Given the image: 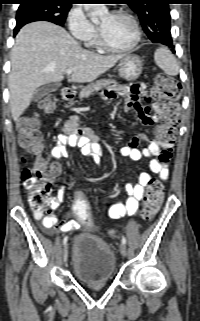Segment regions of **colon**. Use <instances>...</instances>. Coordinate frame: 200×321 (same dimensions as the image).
<instances>
[{
    "mask_svg": "<svg viewBox=\"0 0 200 321\" xmlns=\"http://www.w3.org/2000/svg\"><path fill=\"white\" fill-rule=\"evenodd\" d=\"M180 85L170 76L160 73L153 83L148 100L158 101L163 104L165 116L163 122L156 128L157 138L166 145L165 159H171L172 146L175 140L176 129L179 123V110L175 101L180 96ZM56 99L53 96L45 97L40 108L44 113L55 110ZM22 147L29 150L34 159L28 164L23 157L22 170L23 187L28 195V201L33 213L39 217L47 215L48 199L50 195V180L55 175L56 169L49 162L41 148V135L39 121L35 117H25L19 122ZM74 201L70 206L76 222H82L87 227H92L93 220L88 205V196L83 191L73 192ZM163 199V187L160 182L153 180L149 186L143 202L141 216L144 220H151L159 211ZM114 233V232H112Z\"/></svg>",
    "mask_w": 200,
    "mask_h": 321,
    "instance_id": "colon-1",
    "label": "colon"
}]
</instances>
